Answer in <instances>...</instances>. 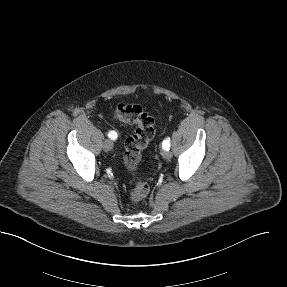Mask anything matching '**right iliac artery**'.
Returning <instances> with one entry per match:
<instances>
[{
    "instance_id": "1",
    "label": "right iliac artery",
    "mask_w": 287,
    "mask_h": 287,
    "mask_svg": "<svg viewBox=\"0 0 287 287\" xmlns=\"http://www.w3.org/2000/svg\"><path fill=\"white\" fill-rule=\"evenodd\" d=\"M108 137H109L111 140H115V139L117 138V133H116L115 131H109Z\"/></svg>"
}]
</instances>
